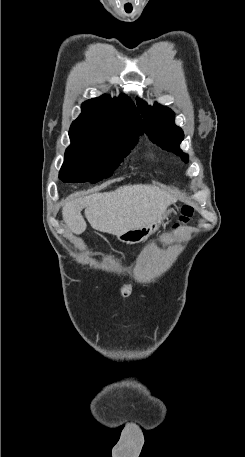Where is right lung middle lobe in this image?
Instances as JSON below:
<instances>
[{"mask_svg": "<svg viewBox=\"0 0 245 457\" xmlns=\"http://www.w3.org/2000/svg\"><path fill=\"white\" fill-rule=\"evenodd\" d=\"M143 130L129 126L72 123L71 145L59 178L64 182L95 183L112 175Z\"/></svg>", "mask_w": 245, "mask_h": 457, "instance_id": "right-lung-middle-lobe-1", "label": "right lung middle lobe"}]
</instances>
